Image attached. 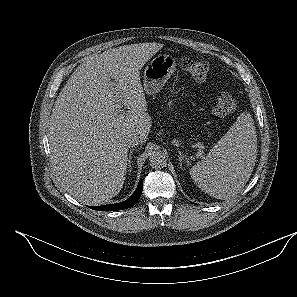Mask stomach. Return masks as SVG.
Returning a JSON list of instances; mask_svg holds the SVG:
<instances>
[{"label": "stomach", "mask_w": 297, "mask_h": 297, "mask_svg": "<svg viewBox=\"0 0 297 297\" xmlns=\"http://www.w3.org/2000/svg\"><path fill=\"white\" fill-rule=\"evenodd\" d=\"M176 66L177 63L174 57L169 54H158L145 68L143 80L144 91L148 95L159 92L176 71Z\"/></svg>", "instance_id": "stomach-1"}]
</instances>
